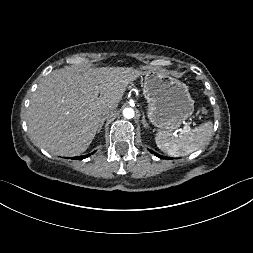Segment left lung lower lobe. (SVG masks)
Returning <instances> with one entry per match:
<instances>
[{
  "instance_id": "0a47b994",
  "label": "left lung lower lobe",
  "mask_w": 253,
  "mask_h": 253,
  "mask_svg": "<svg viewBox=\"0 0 253 253\" xmlns=\"http://www.w3.org/2000/svg\"><path fill=\"white\" fill-rule=\"evenodd\" d=\"M149 151H150L152 154H155L157 157H160V158L166 159V157L160 156V155L156 154L155 152H153V151H151V150H149Z\"/></svg>"
}]
</instances>
